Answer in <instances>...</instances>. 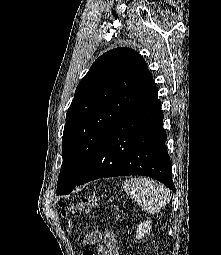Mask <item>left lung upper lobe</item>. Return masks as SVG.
<instances>
[{
    "instance_id": "1",
    "label": "left lung upper lobe",
    "mask_w": 221,
    "mask_h": 255,
    "mask_svg": "<svg viewBox=\"0 0 221 255\" xmlns=\"http://www.w3.org/2000/svg\"><path fill=\"white\" fill-rule=\"evenodd\" d=\"M155 88L145 60L130 48L104 53L78 84L66 114L58 194H69L113 125Z\"/></svg>"
}]
</instances>
